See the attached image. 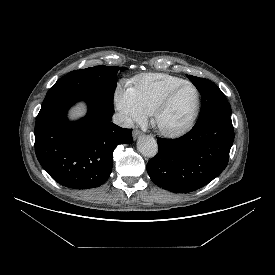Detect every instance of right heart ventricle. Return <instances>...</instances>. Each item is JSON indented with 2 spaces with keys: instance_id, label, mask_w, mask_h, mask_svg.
I'll list each match as a JSON object with an SVG mask.
<instances>
[{
  "instance_id": "obj_1",
  "label": "right heart ventricle",
  "mask_w": 275,
  "mask_h": 275,
  "mask_svg": "<svg viewBox=\"0 0 275 275\" xmlns=\"http://www.w3.org/2000/svg\"><path fill=\"white\" fill-rule=\"evenodd\" d=\"M183 81L179 77L164 73H148L136 77L133 88L141 107L147 114H151L164 94Z\"/></svg>"
}]
</instances>
